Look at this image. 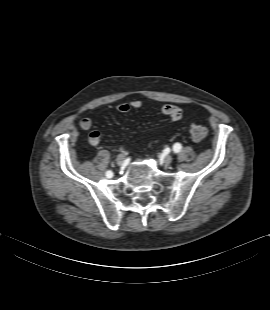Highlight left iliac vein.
<instances>
[{
    "mask_svg": "<svg viewBox=\"0 0 270 310\" xmlns=\"http://www.w3.org/2000/svg\"><path fill=\"white\" fill-rule=\"evenodd\" d=\"M163 161L165 165H169L172 162V157L170 155H166Z\"/></svg>",
    "mask_w": 270,
    "mask_h": 310,
    "instance_id": "obj_1",
    "label": "left iliac vein"
}]
</instances>
